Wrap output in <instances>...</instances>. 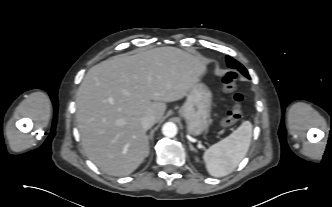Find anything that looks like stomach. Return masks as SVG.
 Returning <instances> with one entry per match:
<instances>
[{
	"label": "stomach",
	"mask_w": 332,
	"mask_h": 207,
	"mask_svg": "<svg viewBox=\"0 0 332 207\" xmlns=\"http://www.w3.org/2000/svg\"><path fill=\"white\" fill-rule=\"evenodd\" d=\"M212 94L210 89L198 81L187 94V99L179 110L186 121L187 132L198 136L208 129L211 120Z\"/></svg>",
	"instance_id": "1"
}]
</instances>
